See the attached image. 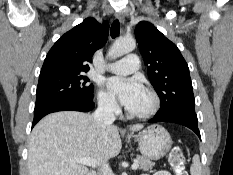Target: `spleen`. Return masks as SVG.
<instances>
[{
	"instance_id": "1",
	"label": "spleen",
	"mask_w": 233,
	"mask_h": 175,
	"mask_svg": "<svg viewBox=\"0 0 233 175\" xmlns=\"http://www.w3.org/2000/svg\"><path fill=\"white\" fill-rule=\"evenodd\" d=\"M193 164L191 165L190 172L191 175H201L202 166L200 163V158L198 155H195L192 160Z\"/></svg>"
}]
</instances>
